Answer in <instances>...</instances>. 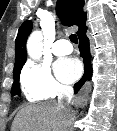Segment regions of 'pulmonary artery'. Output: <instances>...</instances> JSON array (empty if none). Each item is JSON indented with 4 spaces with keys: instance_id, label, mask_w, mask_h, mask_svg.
<instances>
[{
    "instance_id": "1",
    "label": "pulmonary artery",
    "mask_w": 117,
    "mask_h": 131,
    "mask_svg": "<svg viewBox=\"0 0 117 131\" xmlns=\"http://www.w3.org/2000/svg\"><path fill=\"white\" fill-rule=\"evenodd\" d=\"M72 50V45L66 39H59L52 46V52L57 56L70 54Z\"/></svg>"
}]
</instances>
